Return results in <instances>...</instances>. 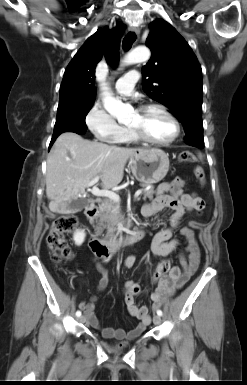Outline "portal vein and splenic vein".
Instances as JSON below:
<instances>
[{"instance_id": "18ae733b", "label": "portal vein and splenic vein", "mask_w": 247, "mask_h": 385, "mask_svg": "<svg viewBox=\"0 0 247 385\" xmlns=\"http://www.w3.org/2000/svg\"><path fill=\"white\" fill-rule=\"evenodd\" d=\"M99 181V176H96L93 178L90 182L87 183V187H92L91 193L96 196H101V197H107L115 202H120V197L117 193L114 191H110L108 189H102L100 190L99 188L95 187L94 185ZM142 193V190H137L135 192V199H138L140 194Z\"/></svg>"}]
</instances>
